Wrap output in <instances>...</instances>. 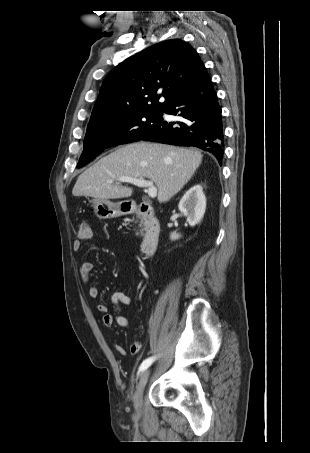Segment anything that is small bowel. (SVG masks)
Returning <instances> with one entry per match:
<instances>
[{
	"label": "small bowel",
	"mask_w": 310,
	"mask_h": 453,
	"mask_svg": "<svg viewBox=\"0 0 310 453\" xmlns=\"http://www.w3.org/2000/svg\"><path fill=\"white\" fill-rule=\"evenodd\" d=\"M89 238H91V236ZM89 238H86V239H89ZM81 249H82V241H81V239H76L73 242V250L78 252ZM92 269H93V263L91 261L85 260L80 264L79 273H80V277H81V280L83 283L87 284L89 282ZM88 295L91 298H97L99 296V290H98L97 286L89 285L88 286ZM110 302L113 306L114 313H111L109 311L108 306L103 302L98 303L96 306L98 312L102 314L103 325L105 327H111L115 323L120 327H127L129 324V320L127 319V317L120 314V308L122 305L131 304L130 296H128L126 293H124L122 291H115L110 296ZM141 348H142V344L138 341H135L132 343L130 351L133 355H136L141 351ZM114 350L119 355H122V356L126 355L125 348L119 344H114Z\"/></svg>",
	"instance_id": "c3829d8e"
}]
</instances>
